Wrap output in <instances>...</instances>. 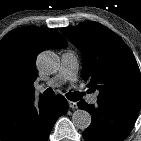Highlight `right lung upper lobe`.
Returning a JSON list of instances; mask_svg holds the SVG:
<instances>
[{"label": "right lung upper lobe", "instance_id": "cb5924a9", "mask_svg": "<svg viewBox=\"0 0 141 141\" xmlns=\"http://www.w3.org/2000/svg\"><path fill=\"white\" fill-rule=\"evenodd\" d=\"M67 45L55 29L21 27L5 35L0 41V108L34 97L37 55Z\"/></svg>", "mask_w": 141, "mask_h": 141}]
</instances>
